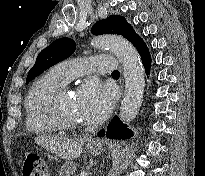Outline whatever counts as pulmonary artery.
I'll return each instance as SVG.
<instances>
[{"mask_svg": "<svg viewBox=\"0 0 205 176\" xmlns=\"http://www.w3.org/2000/svg\"><path fill=\"white\" fill-rule=\"evenodd\" d=\"M117 62V58L114 56L96 55L59 62L51 72L66 84L84 74H106L114 71L118 69Z\"/></svg>", "mask_w": 205, "mask_h": 176, "instance_id": "pulmonary-artery-1", "label": "pulmonary artery"}]
</instances>
